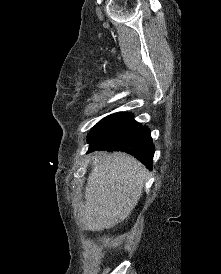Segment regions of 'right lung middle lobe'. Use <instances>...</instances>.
<instances>
[{"label": "right lung middle lobe", "instance_id": "1", "mask_svg": "<svg viewBox=\"0 0 221 274\" xmlns=\"http://www.w3.org/2000/svg\"><path fill=\"white\" fill-rule=\"evenodd\" d=\"M121 115V113H115L99 121L88 134V141H92L96 136H98L105 129H107L113 122H115Z\"/></svg>", "mask_w": 221, "mask_h": 274}]
</instances>
